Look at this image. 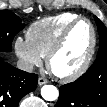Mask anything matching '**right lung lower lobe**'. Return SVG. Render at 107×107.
<instances>
[{
    "mask_svg": "<svg viewBox=\"0 0 107 107\" xmlns=\"http://www.w3.org/2000/svg\"><path fill=\"white\" fill-rule=\"evenodd\" d=\"M38 76L19 70L0 58V107H18L26 94L35 90Z\"/></svg>",
    "mask_w": 107,
    "mask_h": 107,
    "instance_id": "right-lung-lower-lobe-1",
    "label": "right lung lower lobe"
}]
</instances>
